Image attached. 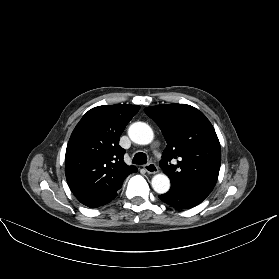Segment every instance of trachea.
I'll use <instances>...</instances> for the list:
<instances>
[{
	"label": "trachea",
	"mask_w": 279,
	"mask_h": 279,
	"mask_svg": "<svg viewBox=\"0 0 279 279\" xmlns=\"http://www.w3.org/2000/svg\"><path fill=\"white\" fill-rule=\"evenodd\" d=\"M146 162H147V156L143 152L136 153L132 160V163L137 165L146 164Z\"/></svg>",
	"instance_id": "1"
}]
</instances>
